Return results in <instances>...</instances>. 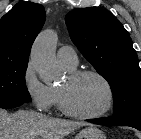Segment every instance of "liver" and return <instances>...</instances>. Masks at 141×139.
I'll list each match as a JSON object with an SVG mask.
<instances>
[{"mask_svg":"<svg viewBox=\"0 0 141 139\" xmlns=\"http://www.w3.org/2000/svg\"><path fill=\"white\" fill-rule=\"evenodd\" d=\"M84 125L86 123L52 118L30 110L9 114L0 109V139H63Z\"/></svg>","mask_w":141,"mask_h":139,"instance_id":"6515ba94","label":"liver"}]
</instances>
